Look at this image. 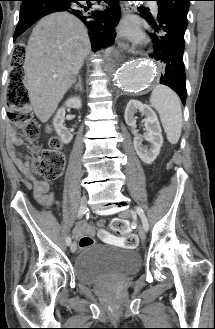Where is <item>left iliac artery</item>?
<instances>
[{"label": "left iliac artery", "mask_w": 215, "mask_h": 329, "mask_svg": "<svg viewBox=\"0 0 215 329\" xmlns=\"http://www.w3.org/2000/svg\"><path fill=\"white\" fill-rule=\"evenodd\" d=\"M135 210L138 213L139 217L141 218L142 225H143L145 231H148L149 224H148V220L146 218V215H145L143 209L141 207H136Z\"/></svg>", "instance_id": "44dca946"}]
</instances>
